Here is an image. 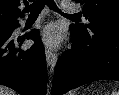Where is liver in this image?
I'll use <instances>...</instances> for the list:
<instances>
[{
  "mask_svg": "<svg viewBox=\"0 0 119 95\" xmlns=\"http://www.w3.org/2000/svg\"><path fill=\"white\" fill-rule=\"evenodd\" d=\"M0 95H16V93L13 90L0 85Z\"/></svg>",
  "mask_w": 119,
  "mask_h": 95,
  "instance_id": "6515ba94",
  "label": "liver"
}]
</instances>
